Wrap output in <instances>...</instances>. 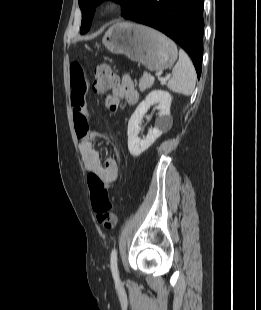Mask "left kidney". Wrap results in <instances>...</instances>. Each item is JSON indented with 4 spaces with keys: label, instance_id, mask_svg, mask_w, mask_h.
Returning a JSON list of instances; mask_svg holds the SVG:
<instances>
[{
    "label": "left kidney",
    "instance_id": "left-kidney-1",
    "mask_svg": "<svg viewBox=\"0 0 261 310\" xmlns=\"http://www.w3.org/2000/svg\"><path fill=\"white\" fill-rule=\"evenodd\" d=\"M172 97L169 92L163 90H153L138 105L128 122V149L132 156L138 157L147 150L157 138L161 136L163 130L171 125L170 106ZM158 104L159 117L155 127L150 129L144 139L138 137L140 123L148 109Z\"/></svg>",
    "mask_w": 261,
    "mask_h": 310
}]
</instances>
